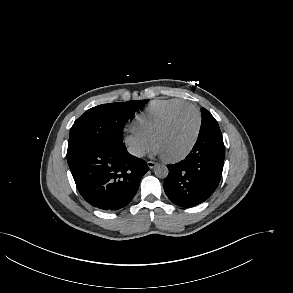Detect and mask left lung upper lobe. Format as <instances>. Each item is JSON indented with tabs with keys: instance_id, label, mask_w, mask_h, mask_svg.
<instances>
[{
	"instance_id": "5c2ea615",
	"label": "left lung upper lobe",
	"mask_w": 293,
	"mask_h": 293,
	"mask_svg": "<svg viewBox=\"0 0 293 293\" xmlns=\"http://www.w3.org/2000/svg\"><path fill=\"white\" fill-rule=\"evenodd\" d=\"M202 123L199 134L208 133L211 131L221 132L217 121L211 115V113L205 108H201Z\"/></svg>"
}]
</instances>
